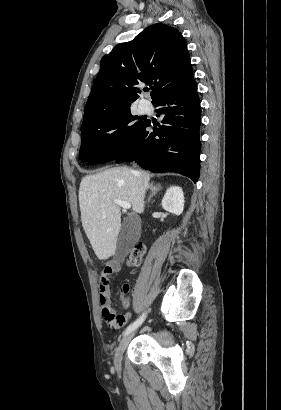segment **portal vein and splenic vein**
Instances as JSON below:
<instances>
[{"mask_svg":"<svg viewBox=\"0 0 281 410\" xmlns=\"http://www.w3.org/2000/svg\"><path fill=\"white\" fill-rule=\"evenodd\" d=\"M114 202L119 205L120 207H122L123 209H130L131 208V204L129 202L126 201H122V200H114Z\"/></svg>","mask_w":281,"mask_h":410,"instance_id":"18ae733b","label":"portal vein and splenic vein"}]
</instances>
